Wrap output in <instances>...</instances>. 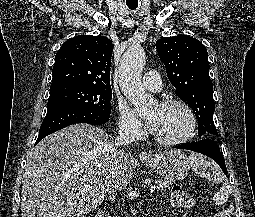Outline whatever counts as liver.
Wrapping results in <instances>:
<instances>
[{
	"label": "liver",
	"instance_id": "liver-1",
	"mask_svg": "<svg viewBox=\"0 0 255 217\" xmlns=\"http://www.w3.org/2000/svg\"><path fill=\"white\" fill-rule=\"evenodd\" d=\"M113 141L106 131L74 124L44 138L28 154L22 179V217H80L95 210L108 189ZM133 174V157L119 153L116 191Z\"/></svg>",
	"mask_w": 255,
	"mask_h": 217
}]
</instances>
